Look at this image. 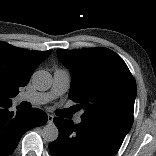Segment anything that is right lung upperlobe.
I'll return each mask as SVG.
<instances>
[{
  "label": "right lung upper lobe",
  "mask_w": 156,
  "mask_h": 156,
  "mask_svg": "<svg viewBox=\"0 0 156 156\" xmlns=\"http://www.w3.org/2000/svg\"><path fill=\"white\" fill-rule=\"evenodd\" d=\"M51 52L25 50L0 41V107L12 105L11 98L28 84L36 67Z\"/></svg>",
  "instance_id": "1"
}]
</instances>
